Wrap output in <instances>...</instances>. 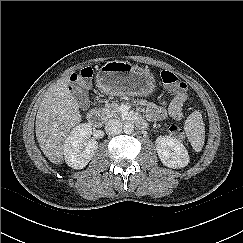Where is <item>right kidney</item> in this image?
Segmentation results:
<instances>
[{
	"label": "right kidney",
	"mask_w": 243,
	"mask_h": 243,
	"mask_svg": "<svg viewBox=\"0 0 243 243\" xmlns=\"http://www.w3.org/2000/svg\"><path fill=\"white\" fill-rule=\"evenodd\" d=\"M91 127L82 123L69 132L64 143V159L68 166L74 169H83L91 160L98 148V142L89 139Z\"/></svg>",
	"instance_id": "obj_1"
}]
</instances>
